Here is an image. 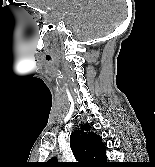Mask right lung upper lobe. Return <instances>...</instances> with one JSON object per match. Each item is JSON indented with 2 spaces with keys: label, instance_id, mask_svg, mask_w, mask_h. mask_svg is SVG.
<instances>
[{
  "label": "right lung upper lobe",
  "instance_id": "obj_1",
  "mask_svg": "<svg viewBox=\"0 0 155 167\" xmlns=\"http://www.w3.org/2000/svg\"><path fill=\"white\" fill-rule=\"evenodd\" d=\"M70 147L76 159L79 161L75 167H105V146L101 137L94 133L88 124H83L81 130L72 132L70 136ZM64 164L57 162L55 157L44 164V167H61Z\"/></svg>",
  "mask_w": 155,
  "mask_h": 167
}]
</instances>
